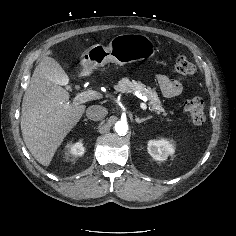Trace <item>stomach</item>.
<instances>
[{"label": "stomach", "mask_w": 236, "mask_h": 236, "mask_svg": "<svg viewBox=\"0 0 236 236\" xmlns=\"http://www.w3.org/2000/svg\"><path fill=\"white\" fill-rule=\"evenodd\" d=\"M156 50L153 42L144 34L126 33L115 36L107 47L96 44L81 55L83 73H90L107 63L125 65L151 58Z\"/></svg>", "instance_id": "1"}]
</instances>
